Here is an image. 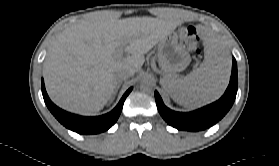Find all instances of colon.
Returning a JSON list of instances; mask_svg holds the SVG:
<instances>
[{
  "mask_svg": "<svg viewBox=\"0 0 279 166\" xmlns=\"http://www.w3.org/2000/svg\"><path fill=\"white\" fill-rule=\"evenodd\" d=\"M178 37L181 46L192 52L194 58L199 60L202 56V49L197 29L194 26H182L178 30Z\"/></svg>",
  "mask_w": 279,
  "mask_h": 166,
  "instance_id": "obj_1",
  "label": "colon"
}]
</instances>
